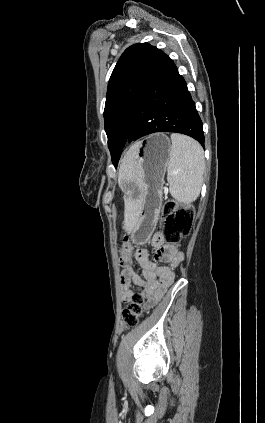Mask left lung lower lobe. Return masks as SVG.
Here are the masks:
<instances>
[{"mask_svg": "<svg viewBox=\"0 0 265 423\" xmlns=\"http://www.w3.org/2000/svg\"><path fill=\"white\" fill-rule=\"evenodd\" d=\"M155 132H176L204 147L202 121L184 78L159 50L136 100L126 143Z\"/></svg>", "mask_w": 265, "mask_h": 423, "instance_id": "0a47b994", "label": "left lung lower lobe"}]
</instances>
